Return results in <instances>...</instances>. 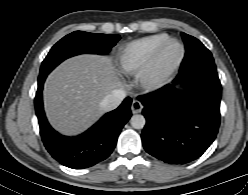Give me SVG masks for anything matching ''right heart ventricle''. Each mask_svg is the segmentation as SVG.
Instances as JSON below:
<instances>
[{
  "label": "right heart ventricle",
  "mask_w": 248,
  "mask_h": 195,
  "mask_svg": "<svg viewBox=\"0 0 248 195\" xmlns=\"http://www.w3.org/2000/svg\"><path fill=\"white\" fill-rule=\"evenodd\" d=\"M169 35L158 33L149 35L123 46L118 53L120 69L129 75L142 72L152 60L157 49L167 40Z\"/></svg>",
  "instance_id": "e07e8e85"
}]
</instances>
